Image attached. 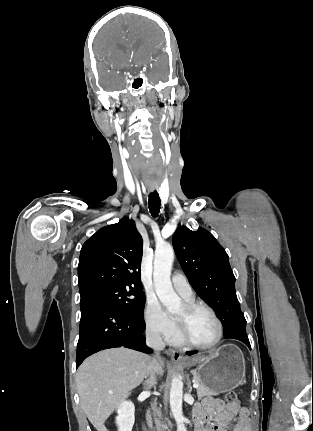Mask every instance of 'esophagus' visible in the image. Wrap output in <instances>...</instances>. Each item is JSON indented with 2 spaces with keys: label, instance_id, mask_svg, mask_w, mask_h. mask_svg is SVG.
Segmentation results:
<instances>
[{
  "label": "esophagus",
  "instance_id": "1",
  "mask_svg": "<svg viewBox=\"0 0 313 431\" xmlns=\"http://www.w3.org/2000/svg\"><path fill=\"white\" fill-rule=\"evenodd\" d=\"M171 358L173 360H179L182 359V354L180 351L178 350H171Z\"/></svg>",
  "mask_w": 313,
  "mask_h": 431
}]
</instances>
